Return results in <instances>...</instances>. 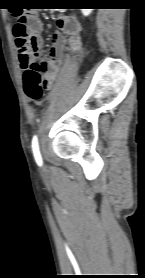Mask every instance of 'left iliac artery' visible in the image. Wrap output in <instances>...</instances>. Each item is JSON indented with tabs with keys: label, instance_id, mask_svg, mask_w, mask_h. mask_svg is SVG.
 <instances>
[{
	"label": "left iliac artery",
	"instance_id": "left-iliac-artery-1",
	"mask_svg": "<svg viewBox=\"0 0 145 278\" xmlns=\"http://www.w3.org/2000/svg\"><path fill=\"white\" fill-rule=\"evenodd\" d=\"M32 150H33V155H34L36 162L41 163L42 158H41V154L39 152L37 136H34L32 139Z\"/></svg>",
	"mask_w": 145,
	"mask_h": 278
}]
</instances>
